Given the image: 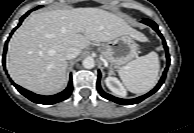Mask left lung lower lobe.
I'll return each mask as SVG.
<instances>
[{
  "label": "left lung lower lobe",
  "mask_w": 194,
  "mask_h": 133,
  "mask_svg": "<svg viewBox=\"0 0 194 133\" xmlns=\"http://www.w3.org/2000/svg\"><path fill=\"white\" fill-rule=\"evenodd\" d=\"M142 23L152 27L157 33L158 35L161 37L162 41H163V44H164V48L166 50V58H167V66L163 72V75L159 81V83L157 84V86L151 90L150 92H148L147 94L143 95V96H140V97H137V98H134V99H120V98H117V97H114L106 92H104L100 86V78H101V74L99 72V75H98V81H97V90L98 92L100 93V95L110 101H113V102H116L118 104H122V105H132V104H137L139 102H141L142 100H144L145 98L149 97L150 95H152L153 93H155L160 87L161 85L163 84L164 80H165V77H166V73H167V70L169 68V64H170V56H169V52H168V47L165 43V39L163 38L162 34L160 33V31L158 30V26L155 22H153L152 20L150 19H144L143 21H141Z\"/></svg>",
  "instance_id": "obj_1"
}]
</instances>
